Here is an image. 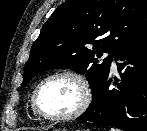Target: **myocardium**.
Instances as JSON below:
<instances>
[{
  "instance_id": "f54148a6",
  "label": "myocardium",
  "mask_w": 147,
  "mask_h": 131,
  "mask_svg": "<svg viewBox=\"0 0 147 131\" xmlns=\"http://www.w3.org/2000/svg\"><path fill=\"white\" fill-rule=\"evenodd\" d=\"M57 77H69L78 82L82 90V100L80 105L71 113L66 115H49L42 111L38 104V94L42 86L49 80ZM92 93L87 79L81 73L73 70H61L53 72L44 77L35 87L31 96V106L33 111L40 118L52 122H64L73 120L81 116L90 106Z\"/></svg>"
}]
</instances>
